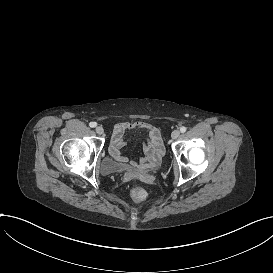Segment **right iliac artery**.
I'll return each instance as SVG.
<instances>
[{"label": "right iliac artery", "mask_w": 273, "mask_h": 273, "mask_svg": "<svg viewBox=\"0 0 273 273\" xmlns=\"http://www.w3.org/2000/svg\"><path fill=\"white\" fill-rule=\"evenodd\" d=\"M96 125H97L96 122H90V123H89V126L92 127V128L95 127Z\"/></svg>", "instance_id": "right-iliac-artery-1"}]
</instances>
